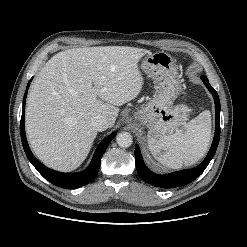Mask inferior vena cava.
Wrapping results in <instances>:
<instances>
[{
    "mask_svg": "<svg viewBox=\"0 0 247 247\" xmlns=\"http://www.w3.org/2000/svg\"><path fill=\"white\" fill-rule=\"evenodd\" d=\"M91 125L96 131L100 132L106 130L109 127L108 120L101 115L95 116L91 122Z\"/></svg>",
    "mask_w": 247,
    "mask_h": 247,
    "instance_id": "inferior-vena-cava-1",
    "label": "inferior vena cava"
}]
</instances>
